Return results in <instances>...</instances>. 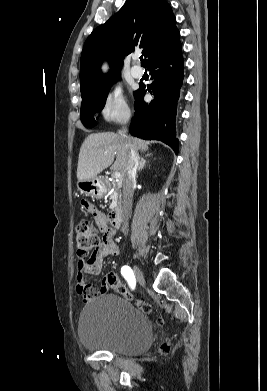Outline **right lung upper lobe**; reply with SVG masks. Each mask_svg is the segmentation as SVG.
<instances>
[{
  "mask_svg": "<svg viewBox=\"0 0 267 391\" xmlns=\"http://www.w3.org/2000/svg\"><path fill=\"white\" fill-rule=\"evenodd\" d=\"M176 18L165 0H127L108 21L87 38L80 60L81 94L105 78L120 73L125 55L143 48L145 65L180 43ZM107 59L110 72L103 76L101 63Z\"/></svg>",
  "mask_w": 267,
  "mask_h": 391,
  "instance_id": "1",
  "label": "right lung upper lobe"
}]
</instances>
